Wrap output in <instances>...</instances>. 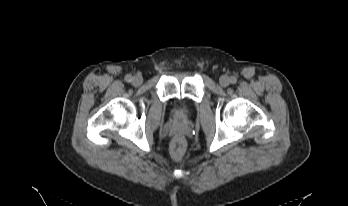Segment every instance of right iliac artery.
<instances>
[{
  "label": "right iliac artery",
  "mask_w": 348,
  "mask_h": 206,
  "mask_svg": "<svg viewBox=\"0 0 348 206\" xmlns=\"http://www.w3.org/2000/svg\"><path fill=\"white\" fill-rule=\"evenodd\" d=\"M132 76L131 75H126V77H125V80L127 81V82H131L132 81Z\"/></svg>",
  "instance_id": "right-iliac-artery-1"
}]
</instances>
